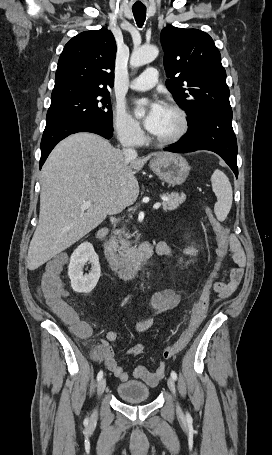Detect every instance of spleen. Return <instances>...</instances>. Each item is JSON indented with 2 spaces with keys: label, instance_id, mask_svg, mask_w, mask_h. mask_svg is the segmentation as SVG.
<instances>
[{
  "label": "spleen",
  "instance_id": "1",
  "mask_svg": "<svg viewBox=\"0 0 272 455\" xmlns=\"http://www.w3.org/2000/svg\"><path fill=\"white\" fill-rule=\"evenodd\" d=\"M212 190L217 197L214 212L219 221H224L232 205V187L228 177L219 169L211 176Z\"/></svg>",
  "mask_w": 272,
  "mask_h": 455
}]
</instances>
